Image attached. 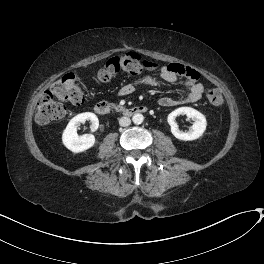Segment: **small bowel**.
I'll return each mask as SVG.
<instances>
[{
    "mask_svg": "<svg viewBox=\"0 0 264 264\" xmlns=\"http://www.w3.org/2000/svg\"><path fill=\"white\" fill-rule=\"evenodd\" d=\"M150 70L160 69V75L163 80L171 84L183 82V85L188 89V94L182 98H174L170 96H163L159 100V104L163 107H173L183 104H191L199 101L204 93V86L198 81L194 69L178 64L159 66L156 62H148ZM138 85L145 87H160L159 80L152 76H144L138 82ZM135 90V85L128 84L123 86L119 93L121 95L132 94Z\"/></svg>",
    "mask_w": 264,
    "mask_h": 264,
    "instance_id": "1",
    "label": "small bowel"
}]
</instances>
